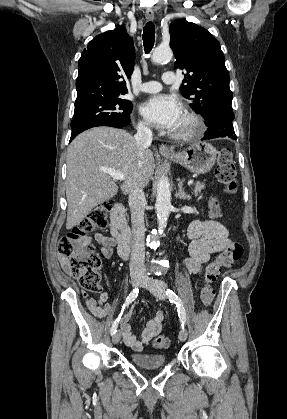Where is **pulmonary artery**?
Returning <instances> with one entry per match:
<instances>
[{"instance_id": "pulmonary-artery-1", "label": "pulmonary artery", "mask_w": 287, "mask_h": 419, "mask_svg": "<svg viewBox=\"0 0 287 419\" xmlns=\"http://www.w3.org/2000/svg\"><path fill=\"white\" fill-rule=\"evenodd\" d=\"M162 80L164 84H172L175 82V75L172 71L163 74ZM162 89V84L157 81H149L141 84L140 90L145 93H155Z\"/></svg>"}]
</instances>
